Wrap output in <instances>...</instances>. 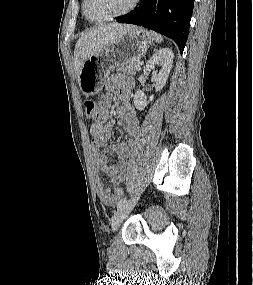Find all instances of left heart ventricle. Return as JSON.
<instances>
[{
    "instance_id": "obj_1",
    "label": "left heart ventricle",
    "mask_w": 253,
    "mask_h": 285,
    "mask_svg": "<svg viewBox=\"0 0 253 285\" xmlns=\"http://www.w3.org/2000/svg\"><path fill=\"white\" fill-rule=\"evenodd\" d=\"M132 0H87V13L92 18H103L126 9Z\"/></svg>"
}]
</instances>
